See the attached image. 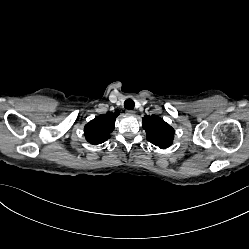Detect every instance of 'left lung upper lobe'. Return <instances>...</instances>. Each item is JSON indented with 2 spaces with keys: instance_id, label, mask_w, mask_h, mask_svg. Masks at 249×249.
<instances>
[{
  "instance_id": "5c2ea615",
  "label": "left lung upper lobe",
  "mask_w": 249,
  "mask_h": 249,
  "mask_svg": "<svg viewBox=\"0 0 249 249\" xmlns=\"http://www.w3.org/2000/svg\"><path fill=\"white\" fill-rule=\"evenodd\" d=\"M143 128L147 133V140L161 149L171 146L175 131L157 115L145 116Z\"/></svg>"
}]
</instances>
